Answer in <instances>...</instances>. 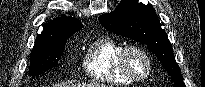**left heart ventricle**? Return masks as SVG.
Masks as SVG:
<instances>
[{
  "label": "left heart ventricle",
  "instance_id": "obj_1",
  "mask_svg": "<svg viewBox=\"0 0 205 87\" xmlns=\"http://www.w3.org/2000/svg\"><path fill=\"white\" fill-rule=\"evenodd\" d=\"M127 62L130 70L137 76L143 77L148 70L146 59L137 52H131L127 57Z\"/></svg>",
  "mask_w": 205,
  "mask_h": 87
}]
</instances>
